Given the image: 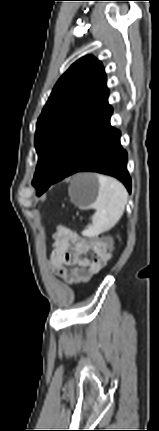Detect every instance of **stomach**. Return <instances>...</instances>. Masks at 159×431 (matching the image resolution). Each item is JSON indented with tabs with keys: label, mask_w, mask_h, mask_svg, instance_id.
<instances>
[{
	"label": "stomach",
	"mask_w": 159,
	"mask_h": 431,
	"mask_svg": "<svg viewBox=\"0 0 159 431\" xmlns=\"http://www.w3.org/2000/svg\"><path fill=\"white\" fill-rule=\"evenodd\" d=\"M99 180L97 174H77L71 183L69 194L71 200L80 208H89L97 200L99 194Z\"/></svg>",
	"instance_id": "stomach-1"
}]
</instances>
